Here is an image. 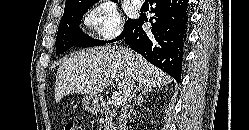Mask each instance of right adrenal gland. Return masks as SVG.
<instances>
[{
  "label": "right adrenal gland",
  "instance_id": "right-adrenal-gland-1",
  "mask_svg": "<svg viewBox=\"0 0 249 130\" xmlns=\"http://www.w3.org/2000/svg\"><path fill=\"white\" fill-rule=\"evenodd\" d=\"M153 89H148V90H144L142 91L137 98H135L134 103L132 104V106L130 107L129 113H128V117L130 118V115L133 113L134 107L135 105H139L140 103H142L144 101V97L147 96V93L152 92Z\"/></svg>",
  "mask_w": 249,
  "mask_h": 130
}]
</instances>
